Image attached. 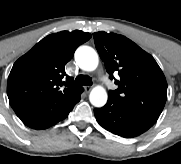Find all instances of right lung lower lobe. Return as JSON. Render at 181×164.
Returning a JSON list of instances; mask_svg holds the SVG:
<instances>
[{
    "label": "right lung lower lobe",
    "mask_w": 181,
    "mask_h": 164,
    "mask_svg": "<svg viewBox=\"0 0 181 164\" xmlns=\"http://www.w3.org/2000/svg\"><path fill=\"white\" fill-rule=\"evenodd\" d=\"M80 100V96L76 99V101L69 106L67 109H65L63 112L60 114L53 116V117H29V118H21L22 122L33 129L41 130V129H46L57 122L65 119L69 112L73 109L74 105Z\"/></svg>",
    "instance_id": "right-lung-lower-lobe-1"
}]
</instances>
